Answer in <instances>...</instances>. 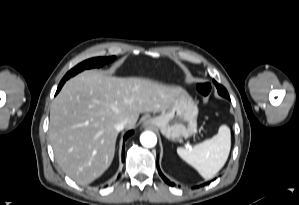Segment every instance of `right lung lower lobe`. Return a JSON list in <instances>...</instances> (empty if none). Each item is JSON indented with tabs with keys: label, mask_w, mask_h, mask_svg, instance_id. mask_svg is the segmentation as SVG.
I'll return each instance as SVG.
<instances>
[{
	"label": "right lung lower lobe",
	"mask_w": 299,
	"mask_h": 205,
	"mask_svg": "<svg viewBox=\"0 0 299 205\" xmlns=\"http://www.w3.org/2000/svg\"><path fill=\"white\" fill-rule=\"evenodd\" d=\"M64 83H65V82H63V81L60 82L59 87H58L56 93H58V92L60 91V89H61V87L63 86ZM132 133H133V131H129V132H127V133L125 134V136H124V142H125V140H126ZM123 153H124V152H123Z\"/></svg>",
	"instance_id": "98d812e1"
}]
</instances>
